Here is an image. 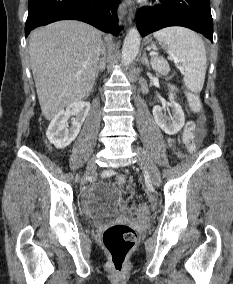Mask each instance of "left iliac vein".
<instances>
[{
  "instance_id": "1",
  "label": "left iliac vein",
  "mask_w": 233,
  "mask_h": 284,
  "mask_svg": "<svg viewBox=\"0 0 233 284\" xmlns=\"http://www.w3.org/2000/svg\"><path fill=\"white\" fill-rule=\"evenodd\" d=\"M136 151L139 156V161L142 163V165L145 167V169L148 172L150 181L154 186H159L161 183V175L158 167L156 166L154 161L151 159V157L147 154L145 150L137 148Z\"/></svg>"
}]
</instances>
